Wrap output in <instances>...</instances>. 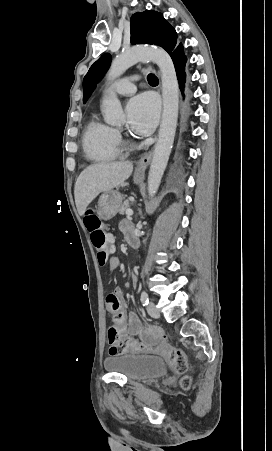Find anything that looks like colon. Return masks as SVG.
Here are the masks:
<instances>
[{
    "instance_id": "1",
    "label": "colon",
    "mask_w": 272,
    "mask_h": 451,
    "mask_svg": "<svg viewBox=\"0 0 272 451\" xmlns=\"http://www.w3.org/2000/svg\"><path fill=\"white\" fill-rule=\"evenodd\" d=\"M86 228L90 232V238L93 246L96 249L97 263L99 265L107 264L110 256V249L112 244L108 239L110 238V231L101 228L100 218L93 215H86L84 218ZM106 341L109 348L110 355L121 356L127 351H137L138 354H147L148 347L144 342H131L129 338L117 337V330L114 326H109L106 329ZM164 354H169V367H173L178 373H184L187 369L186 357L180 353L179 345H164L162 348ZM192 382L189 377L181 379V386L183 388L191 387Z\"/></svg>"
}]
</instances>
